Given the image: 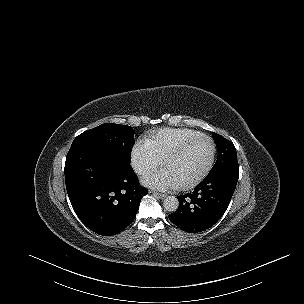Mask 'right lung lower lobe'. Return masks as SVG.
Listing matches in <instances>:
<instances>
[{"instance_id":"right-lung-lower-lobe-1","label":"right lung lower lobe","mask_w":304,"mask_h":304,"mask_svg":"<svg viewBox=\"0 0 304 304\" xmlns=\"http://www.w3.org/2000/svg\"><path fill=\"white\" fill-rule=\"evenodd\" d=\"M64 172L75 213L99 235L112 236L127 227L148 193L130 165L118 164L110 150L95 145L72 146Z\"/></svg>"}]
</instances>
